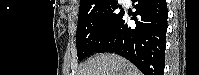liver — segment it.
<instances>
[{"label": "liver", "instance_id": "obj_1", "mask_svg": "<svg viewBox=\"0 0 199 75\" xmlns=\"http://www.w3.org/2000/svg\"><path fill=\"white\" fill-rule=\"evenodd\" d=\"M77 75H142L129 61L116 54H99L82 64Z\"/></svg>", "mask_w": 199, "mask_h": 75}]
</instances>
